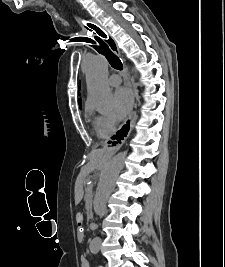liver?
I'll use <instances>...</instances> for the list:
<instances>
[{
  "label": "liver",
  "instance_id": "6515ba94",
  "mask_svg": "<svg viewBox=\"0 0 225 267\" xmlns=\"http://www.w3.org/2000/svg\"><path fill=\"white\" fill-rule=\"evenodd\" d=\"M101 154H102L101 150H94L91 153L90 162L88 163L87 166L84 167L82 171L83 174H87L88 172L93 171L94 169L101 166V164L103 163V158ZM82 196H83L82 188L80 186H77L75 190L76 204H78L81 201Z\"/></svg>",
  "mask_w": 225,
  "mask_h": 267
}]
</instances>
